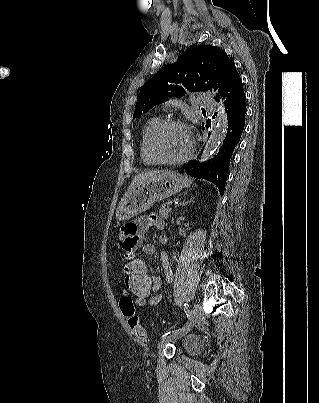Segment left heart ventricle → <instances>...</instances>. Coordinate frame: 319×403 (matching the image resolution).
<instances>
[{"instance_id": "left-heart-ventricle-1", "label": "left heart ventricle", "mask_w": 319, "mask_h": 403, "mask_svg": "<svg viewBox=\"0 0 319 403\" xmlns=\"http://www.w3.org/2000/svg\"><path fill=\"white\" fill-rule=\"evenodd\" d=\"M188 132L180 126H169L158 136L156 149L160 156L166 159H177L186 154L189 149Z\"/></svg>"}]
</instances>
